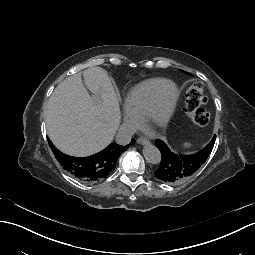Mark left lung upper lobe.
Wrapping results in <instances>:
<instances>
[{"mask_svg":"<svg viewBox=\"0 0 255 255\" xmlns=\"http://www.w3.org/2000/svg\"><path fill=\"white\" fill-rule=\"evenodd\" d=\"M215 137H216V136H215ZM156 141H157V140H156ZM210 142H211V141H210ZM208 145H209V144H208ZM208 145H207V146H208ZM207 146H206V147H207ZM173 154H174V153H173ZM174 155H176V154H174ZM182 156H184V155H182ZM154 174H155V173H154ZM155 176H156V175H155ZM158 179H159V178H158ZM185 180H186V179H185ZM170 183H175V182H170Z\"/></svg>","mask_w":255,"mask_h":255,"instance_id":"obj_1","label":"left lung upper lobe"}]
</instances>
